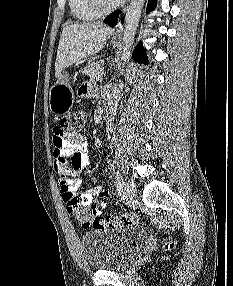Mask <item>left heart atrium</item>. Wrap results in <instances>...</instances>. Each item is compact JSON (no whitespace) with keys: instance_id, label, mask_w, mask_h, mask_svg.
<instances>
[{"instance_id":"1","label":"left heart atrium","mask_w":233,"mask_h":286,"mask_svg":"<svg viewBox=\"0 0 233 286\" xmlns=\"http://www.w3.org/2000/svg\"><path fill=\"white\" fill-rule=\"evenodd\" d=\"M115 3H120L122 0H114Z\"/></svg>"}]
</instances>
